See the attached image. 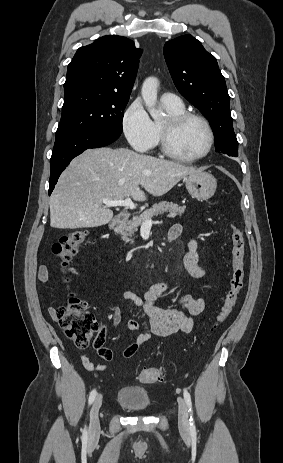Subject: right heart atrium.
Masks as SVG:
<instances>
[{
    "mask_svg": "<svg viewBox=\"0 0 283 463\" xmlns=\"http://www.w3.org/2000/svg\"><path fill=\"white\" fill-rule=\"evenodd\" d=\"M123 133L136 151L147 152L156 142L157 130L140 100H134L122 118Z\"/></svg>",
    "mask_w": 283,
    "mask_h": 463,
    "instance_id": "d8ad5b80",
    "label": "right heart atrium"
}]
</instances>
